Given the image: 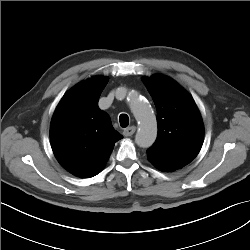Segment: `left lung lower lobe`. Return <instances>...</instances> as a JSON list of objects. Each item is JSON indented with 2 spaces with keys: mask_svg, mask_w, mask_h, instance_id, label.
Instances as JSON below:
<instances>
[{
  "mask_svg": "<svg viewBox=\"0 0 250 250\" xmlns=\"http://www.w3.org/2000/svg\"><path fill=\"white\" fill-rule=\"evenodd\" d=\"M148 160L161 171H174L183 166L187 165L192 160L183 159V158H170L166 156H161L157 154H153L147 151Z\"/></svg>",
  "mask_w": 250,
  "mask_h": 250,
  "instance_id": "1",
  "label": "left lung lower lobe"
}]
</instances>
